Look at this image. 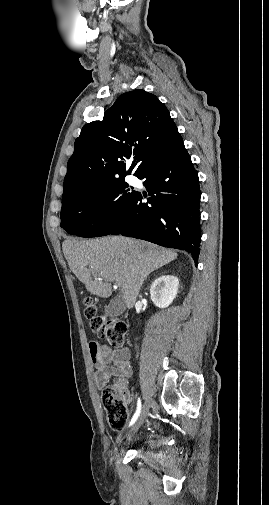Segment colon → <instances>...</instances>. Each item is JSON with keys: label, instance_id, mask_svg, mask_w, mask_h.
Returning <instances> with one entry per match:
<instances>
[{"label": "colon", "instance_id": "obj_1", "mask_svg": "<svg viewBox=\"0 0 269 505\" xmlns=\"http://www.w3.org/2000/svg\"><path fill=\"white\" fill-rule=\"evenodd\" d=\"M98 311L97 303L93 299L87 298L84 313L90 321L91 329L114 348H122L127 332L126 324L119 319H107ZM102 402L110 427L116 431L122 430L127 423L128 416L118 391L114 388L107 389L102 395Z\"/></svg>", "mask_w": 269, "mask_h": 505}]
</instances>
